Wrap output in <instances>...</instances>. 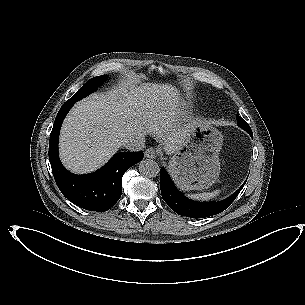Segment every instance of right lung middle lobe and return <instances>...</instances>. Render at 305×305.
<instances>
[{
	"instance_id": "right-lung-middle-lobe-1",
	"label": "right lung middle lobe",
	"mask_w": 305,
	"mask_h": 305,
	"mask_svg": "<svg viewBox=\"0 0 305 305\" xmlns=\"http://www.w3.org/2000/svg\"><path fill=\"white\" fill-rule=\"evenodd\" d=\"M106 78H107L106 75H101V76H97V77H94V78L88 80L79 89V91L72 98L69 99V101L75 103V102L79 101L80 99L86 97L90 93L94 92L102 82L106 81Z\"/></svg>"
}]
</instances>
